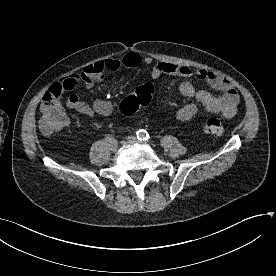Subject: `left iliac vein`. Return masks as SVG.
Masks as SVG:
<instances>
[{"mask_svg": "<svg viewBox=\"0 0 276 276\" xmlns=\"http://www.w3.org/2000/svg\"><path fill=\"white\" fill-rule=\"evenodd\" d=\"M127 141L128 143H141V141L138 140L135 136H128Z\"/></svg>", "mask_w": 276, "mask_h": 276, "instance_id": "4c4485c4", "label": "left iliac vein"}]
</instances>
